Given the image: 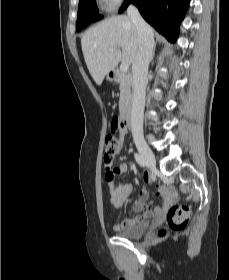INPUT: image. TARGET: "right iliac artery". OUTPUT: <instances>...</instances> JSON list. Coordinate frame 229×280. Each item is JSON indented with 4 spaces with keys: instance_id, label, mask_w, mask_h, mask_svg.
<instances>
[{
    "instance_id": "82829eb1",
    "label": "right iliac artery",
    "mask_w": 229,
    "mask_h": 280,
    "mask_svg": "<svg viewBox=\"0 0 229 280\" xmlns=\"http://www.w3.org/2000/svg\"><path fill=\"white\" fill-rule=\"evenodd\" d=\"M135 160L136 162L141 166V167H145L146 166V161L142 158V156H140L138 153L134 154Z\"/></svg>"
}]
</instances>
